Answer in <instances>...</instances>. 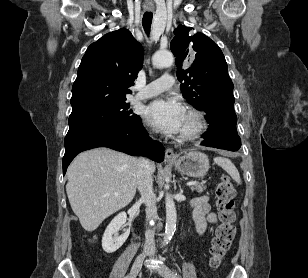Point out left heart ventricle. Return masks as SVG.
<instances>
[{
    "label": "left heart ventricle",
    "instance_id": "left-heart-ventricle-1",
    "mask_svg": "<svg viewBox=\"0 0 308 278\" xmlns=\"http://www.w3.org/2000/svg\"><path fill=\"white\" fill-rule=\"evenodd\" d=\"M193 125H194V121L192 117L188 113H185L184 121L180 129V132H184V131L191 129Z\"/></svg>",
    "mask_w": 308,
    "mask_h": 278
}]
</instances>
